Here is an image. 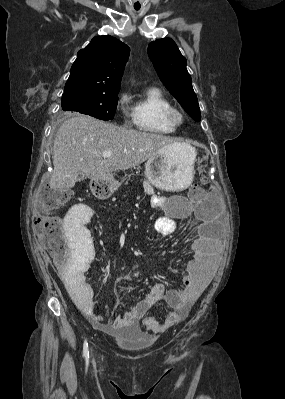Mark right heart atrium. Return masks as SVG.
<instances>
[{"label":"right heart atrium","instance_id":"obj_1","mask_svg":"<svg viewBox=\"0 0 285 399\" xmlns=\"http://www.w3.org/2000/svg\"><path fill=\"white\" fill-rule=\"evenodd\" d=\"M131 97L128 93H122L117 99V108L123 115V117L128 122L129 119L133 116L131 107H130Z\"/></svg>","mask_w":285,"mask_h":399}]
</instances>
